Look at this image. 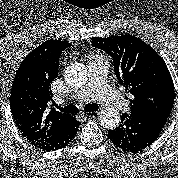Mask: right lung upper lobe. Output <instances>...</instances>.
<instances>
[{
    "instance_id": "cb5924a9",
    "label": "right lung upper lobe",
    "mask_w": 178,
    "mask_h": 178,
    "mask_svg": "<svg viewBox=\"0 0 178 178\" xmlns=\"http://www.w3.org/2000/svg\"><path fill=\"white\" fill-rule=\"evenodd\" d=\"M70 45L60 40L39 45L21 62L12 84L14 122L21 135L40 149L68 132L77 121L50 106L51 83L58 76L60 54Z\"/></svg>"
}]
</instances>
